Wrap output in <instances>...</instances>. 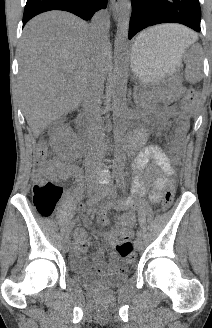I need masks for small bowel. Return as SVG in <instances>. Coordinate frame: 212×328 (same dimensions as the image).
Returning <instances> with one entry per match:
<instances>
[{"mask_svg":"<svg viewBox=\"0 0 212 328\" xmlns=\"http://www.w3.org/2000/svg\"><path fill=\"white\" fill-rule=\"evenodd\" d=\"M153 163L154 169H149V164ZM50 176L53 178L64 179L67 177H75L81 179L80 169L74 163L63 164L59 159L54 158L48 163ZM136 173L134 179L133 194L135 196H143L147 192L149 184L152 185V191L149 197L153 202H157L161 198V191L165 188L168 178L175 174V168L162 149L157 146L146 147L137 157L134 164ZM134 205L132 199L123 200L119 203V208H130ZM102 211L99 225L105 227L107 225L106 209ZM84 222L89 223L87 213L84 215ZM135 222V215L132 212H126L118 217L116 226L107 231L100 242L102 248L97 251L92 258L88 267L96 273L108 274L123 270L118 256L111 252L109 261H104V251L112 246L118 239H130L133 235L132 226ZM90 247L86 232L82 229L76 233L74 246L72 250L73 257H83L88 252Z\"/></svg>","mask_w":212,"mask_h":328,"instance_id":"c3829d8e","label":"small bowel"}]
</instances>
